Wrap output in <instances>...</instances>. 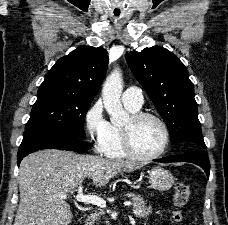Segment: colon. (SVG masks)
<instances>
[{"instance_id": "obj_1", "label": "colon", "mask_w": 228, "mask_h": 225, "mask_svg": "<svg viewBox=\"0 0 228 225\" xmlns=\"http://www.w3.org/2000/svg\"><path fill=\"white\" fill-rule=\"evenodd\" d=\"M190 186L185 182L177 183L174 187V205L172 220L176 225H181L184 220L183 208L190 196Z\"/></svg>"}]
</instances>
